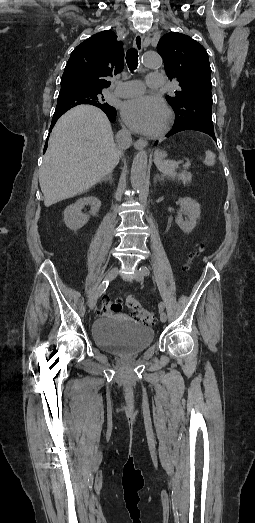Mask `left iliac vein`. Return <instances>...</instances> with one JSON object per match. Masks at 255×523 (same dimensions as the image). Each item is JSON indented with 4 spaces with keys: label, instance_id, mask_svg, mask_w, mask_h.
Wrapping results in <instances>:
<instances>
[{
    "label": "left iliac vein",
    "instance_id": "obj_1",
    "mask_svg": "<svg viewBox=\"0 0 255 523\" xmlns=\"http://www.w3.org/2000/svg\"><path fill=\"white\" fill-rule=\"evenodd\" d=\"M134 278H135L136 281H138V282H142L143 279H144V274L142 273L141 270H136V272H135V274H134ZM160 320H161V322H163V323L166 322V320H167L166 313L163 312L162 310H161V312H160Z\"/></svg>",
    "mask_w": 255,
    "mask_h": 523
}]
</instances>
